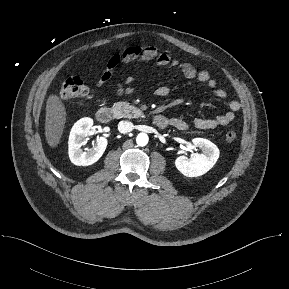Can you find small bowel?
<instances>
[{
  "label": "small bowel",
  "instance_id": "obj_1",
  "mask_svg": "<svg viewBox=\"0 0 289 289\" xmlns=\"http://www.w3.org/2000/svg\"><path fill=\"white\" fill-rule=\"evenodd\" d=\"M132 62H153L154 65L158 67L169 66L178 68L187 79L196 80L208 88L213 89L217 98L224 99L227 97V92L224 89L217 88L216 80L212 78L207 71L198 70L190 63L180 62L179 60L172 58L170 55L160 52L155 46H130L118 53L113 54L108 59L106 68L97 81V86L102 87L108 83L111 80L117 66ZM132 80L133 79L131 77H128L126 80L127 84H130ZM132 92L133 88L131 86H124L122 84H118L117 86L118 96L124 94L130 95ZM169 93L170 88L167 86H159L155 90V95L158 97H165L169 95ZM240 107L241 105L237 100H232L229 103L228 110L225 113L215 118H196L192 121V125L200 130H210L220 126H227L235 119L236 113L240 110ZM169 120L170 125L178 130H186L189 127L188 123L181 118L174 117Z\"/></svg>",
  "mask_w": 289,
  "mask_h": 289
}]
</instances>
